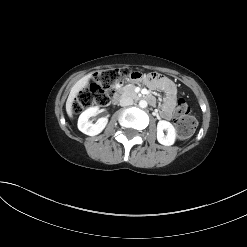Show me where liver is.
Segmentation results:
<instances>
[{
    "label": "liver",
    "instance_id": "6515ba94",
    "mask_svg": "<svg viewBox=\"0 0 247 247\" xmlns=\"http://www.w3.org/2000/svg\"><path fill=\"white\" fill-rule=\"evenodd\" d=\"M91 77H92V74L85 75L80 80H78L71 88L70 94L66 101V112L70 118L73 117L72 105H73L75 97L78 95L79 91L83 90V88H85L88 85Z\"/></svg>",
    "mask_w": 247,
    "mask_h": 247
}]
</instances>
